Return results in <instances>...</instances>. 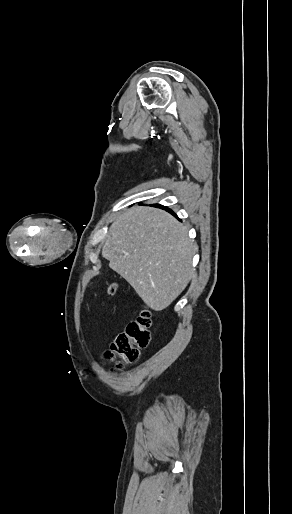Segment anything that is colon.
I'll return each instance as SVG.
<instances>
[{
	"label": "colon",
	"instance_id": "1",
	"mask_svg": "<svg viewBox=\"0 0 292 514\" xmlns=\"http://www.w3.org/2000/svg\"><path fill=\"white\" fill-rule=\"evenodd\" d=\"M116 292V285L109 287V293ZM152 316L149 312L137 315L128 325L127 331L111 342L105 351V359L115 362L114 370H120L126 364H132L139 358L140 351L146 349L152 341Z\"/></svg>",
	"mask_w": 292,
	"mask_h": 514
}]
</instances>
